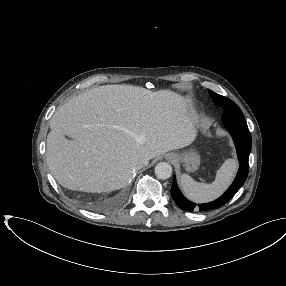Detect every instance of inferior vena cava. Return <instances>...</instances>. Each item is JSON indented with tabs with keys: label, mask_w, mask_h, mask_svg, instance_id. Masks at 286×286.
I'll return each instance as SVG.
<instances>
[{
	"label": "inferior vena cava",
	"mask_w": 286,
	"mask_h": 286,
	"mask_svg": "<svg viewBox=\"0 0 286 286\" xmlns=\"http://www.w3.org/2000/svg\"><path fill=\"white\" fill-rule=\"evenodd\" d=\"M140 167H141V165H137L136 169H138V168H140Z\"/></svg>",
	"instance_id": "1"
}]
</instances>
